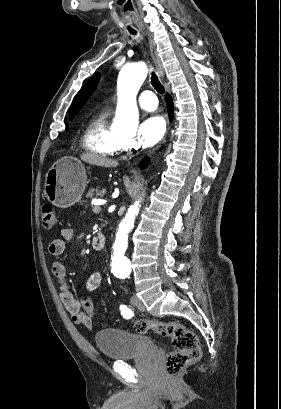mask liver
Listing matches in <instances>:
<instances>
[{
    "instance_id": "6515ba94",
    "label": "liver",
    "mask_w": 281,
    "mask_h": 409,
    "mask_svg": "<svg viewBox=\"0 0 281 409\" xmlns=\"http://www.w3.org/2000/svg\"><path fill=\"white\" fill-rule=\"evenodd\" d=\"M80 158L89 162V164H96V166H117V160L114 158H108V156H102L98 152H83Z\"/></svg>"
}]
</instances>
